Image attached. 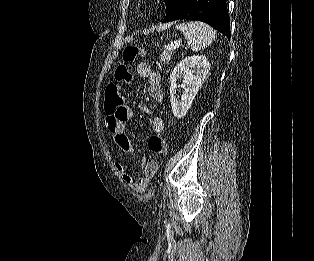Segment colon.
I'll use <instances>...</instances> for the list:
<instances>
[{
  "label": "colon",
  "instance_id": "obj_1",
  "mask_svg": "<svg viewBox=\"0 0 314 261\" xmlns=\"http://www.w3.org/2000/svg\"><path fill=\"white\" fill-rule=\"evenodd\" d=\"M143 54L144 51L137 46H127L124 49L122 56L123 62L119 64L115 70V80L109 83L106 88V110L114 111L119 106L125 104L126 97L123 84L129 83L132 79V74L128 66ZM148 145L151 152L156 155L164 157L167 153V145L159 134L152 135Z\"/></svg>",
  "mask_w": 314,
  "mask_h": 261
}]
</instances>
